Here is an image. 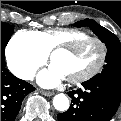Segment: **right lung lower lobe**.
<instances>
[{
  "mask_svg": "<svg viewBox=\"0 0 121 121\" xmlns=\"http://www.w3.org/2000/svg\"><path fill=\"white\" fill-rule=\"evenodd\" d=\"M34 90L31 84L10 73L1 59V121H14L24 97Z\"/></svg>",
  "mask_w": 121,
  "mask_h": 121,
  "instance_id": "98d812e1",
  "label": "right lung lower lobe"
}]
</instances>
